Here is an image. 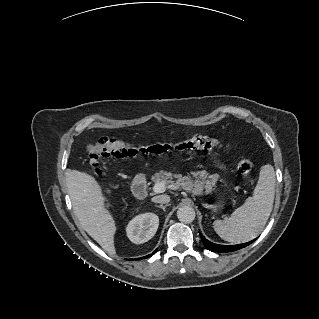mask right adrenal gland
I'll list each match as a JSON object with an SVG mask.
<instances>
[{
    "instance_id": "right-adrenal-gland-1",
    "label": "right adrenal gland",
    "mask_w": 319,
    "mask_h": 319,
    "mask_svg": "<svg viewBox=\"0 0 319 319\" xmlns=\"http://www.w3.org/2000/svg\"><path fill=\"white\" fill-rule=\"evenodd\" d=\"M167 206H169L168 204H166V205H157V204H155V207H157V208H161V209H163V210H165V208L167 207Z\"/></svg>"
}]
</instances>
